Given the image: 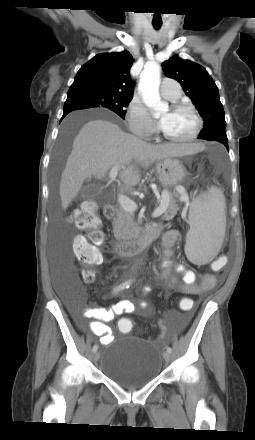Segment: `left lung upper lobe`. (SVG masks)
<instances>
[{
  "instance_id": "obj_1",
  "label": "left lung upper lobe",
  "mask_w": 255,
  "mask_h": 440,
  "mask_svg": "<svg viewBox=\"0 0 255 440\" xmlns=\"http://www.w3.org/2000/svg\"><path fill=\"white\" fill-rule=\"evenodd\" d=\"M167 77L177 80L187 96L204 118V127L199 139L228 142L224 109L219 99L218 88L201 65L174 56L163 63Z\"/></svg>"
}]
</instances>
